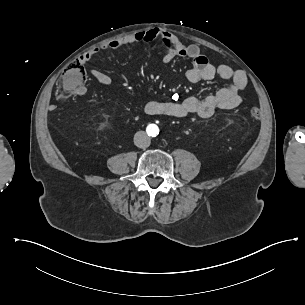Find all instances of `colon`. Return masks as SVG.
<instances>
[{
    "instance_id": "5ec220e1",
    "label": "colon",
    "mask_w": 305,
    "mask_h": 305,
    "mask_svg": "<svg viewBox=\"0 0 305 305\" xmlns=\"http://www.w3.org/2000/svg\"><path fill=\"white\" fill-rule=\"evenodd\" d=\"M87 86L86 72L78 61H71L65 74L56 83V102L59 105H65L67 100L76 96L81 89ZM250 116L254 119L259 117V111L256 108L250 110Z\"/></svg>"
}]
</instances>
